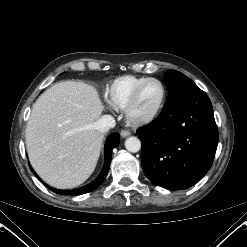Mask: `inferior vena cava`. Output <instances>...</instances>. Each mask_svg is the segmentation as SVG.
Here are the masks:
<instances>
[{"label": "inferior vena cava", "mask_w": 247, "mask_h": 247, "mask_svg": "<svg viewBox=\"0 0 247 247\" xmlns=\"http://www.w3.org/2000/svg\"><path fill=\"white\" fill-rule=\"evenodd\" d=\"M115 124V120L111 115H103L96 121L95 128L101 133H106L109 129L114 128Z\"/></svg>", "instance_id": "obj_1"}]
</instances>
